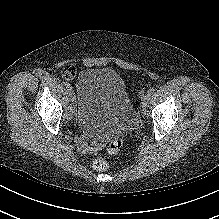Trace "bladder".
I'll return each mask as SVG.
<instances>
[{
  "instance_id": "31cf9c89",
  "label": "bladder",
  "mask_w": 219,
  "mask_h": 219,
  "mask_svg": "<svg viewBox=\"0 0 219 219\" xmlns=\"http://www.w3.org/2000/svg\"><path fill=\"white\" fill-rule=\"evenodd\" d=\"M76 96L75 122L81 130L113 136L135 123L126 85L113 69H84L77 79Z\"/></svg>"
}]
</instances>
